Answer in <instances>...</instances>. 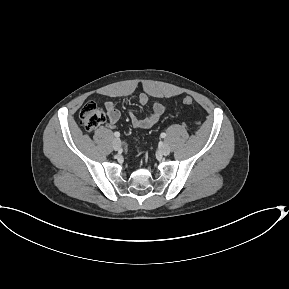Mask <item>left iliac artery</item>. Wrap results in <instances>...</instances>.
<instances>
[{
  "label": "left iliac artery",
  "instance_id": "left-iliac-artery-1",
  "mask_svg": "<svg viewBox=\"0 0 289 289\" xmlns=\"http://www.w3.org/2000/svg\"><path fill=\"white\" fill-rule=\"evenodd\" d=\"M161 138H165L166 137V134L165 133H161Z\"/></svg>",
  "mask_w": 289,
  "mask_h": 289
}]
</instances>
